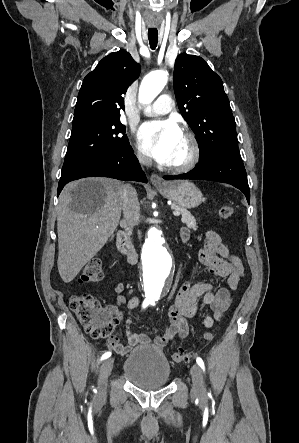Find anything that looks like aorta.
<instances>
[{
	"label": "aorta",
	"mask_w": 299,
	"mask_h": 443,
	"mask_svg": "<svg viewBox=\"0 0 299 443\" xmlns=\"http://www.w3.org/2000/svg\"><path fill=\"white\" fill-rule=\"evenodd\" d=\"M168 80L166 71H154L144 77L138 94L142 104L151 103L162 91ZM173 266V257L167 246L163 231L150 227L142 251V271L145 298L158 300L167 291L168 279Z\"/></svg>",
	"instance_id": "aorta-1"
}]
</instances>
